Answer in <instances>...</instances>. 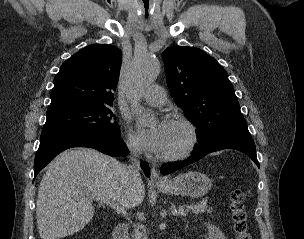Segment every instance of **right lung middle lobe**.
<instances>
[{
    "label": "right lung middle lobe",
    "instance_id": "obj_1",
    "mask_svg": "<svg viewBox=\"0 0 304 239\" xmlns=\"http://www.w3.org/2000/svg\"><path fill=\"white\" fill-rule=\"evenodd\" d=\"M108 105L77 108L47 115L41 135L83 132L120 138V128Z\"/></svg>",
    "mask_w": 304,
    "mask_h": 239
}]
</instances>
